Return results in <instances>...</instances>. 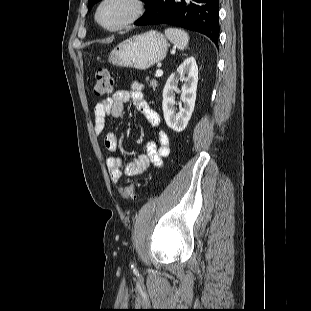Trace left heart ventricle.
<instances>
[{
	"mask_svg": "<svg viewBox=\"0 0 311 311\" xmlns=\"http://www.w3.org/2000/svg\"><path fill=\"white\" fill-rule=\"evenodd\" d=\"M129 5L121 0H113L103 6L100 12L102 22L114 26L124 20L129 14Z\"/></svg>",
	"mask_w": 311,
	"mask_h": 311,
	"instance_id": "1",
	"label": "left heart ventricle"
}]
</instances>
